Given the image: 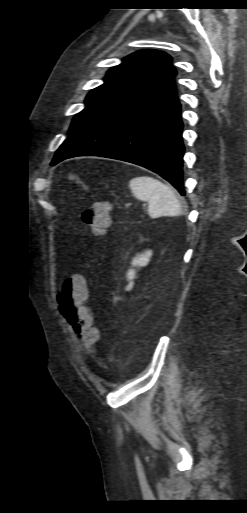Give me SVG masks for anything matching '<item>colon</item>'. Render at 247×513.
<instances>
[{
  "label": "colon",
  "mask_w": 247,
  "mask_h": 513,
  "mask_svg": "<svg viewBox=\"0 0 247 513\" xmlns=\"http://www.w3.org/2000/svg\"><path fill=\"white\" fill-rule=\"evenodd\" d=\"M112 207L107 202H97L82 213V222L86 232L94 237L102 236L111 223ZM88 297L87 279L82 274L68 277L58 294L59 308L72 326L76 335L86 345H92L98 338L91 309L86 305ZM89 357H96L98 350L89 348Z\"/></svg>",
  "instance_id": "colon-1"
}]
</instances>
